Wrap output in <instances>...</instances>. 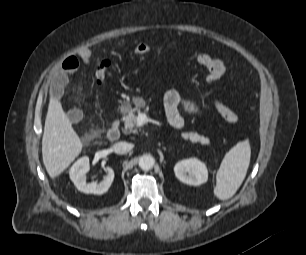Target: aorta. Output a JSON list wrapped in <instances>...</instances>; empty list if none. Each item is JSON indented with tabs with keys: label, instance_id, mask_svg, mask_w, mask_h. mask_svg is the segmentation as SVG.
<instances>
[{
	"label": "aorta",
	"instance_id": "aorta-1",
	"mask_svg": "<svg viewBox=\"0 0 306 255\" xmlns=\"http://www.w3.org/2000/svg\"><path fill=\"white\" fill-rule=\"evenodd\" d=\"M139 167L142 169V170H150L153 168L154 164H155V159L153 158V156L149 155V154H145V155H142L140 158H139Z\"/></svg>",
	"mask_w": 306,
	"mask_h": 255
}]
</instances>
